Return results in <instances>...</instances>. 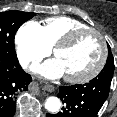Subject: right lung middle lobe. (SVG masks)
Returning a JSON list of instances; mask_svg holds the SVG:
<instances>
[{
    "label": "right lung middle lobe",
    "mask_w": 117,
    "mask_h": 117,
    "mask_svg": "<svg viewBox=\"0 0 117 117\" xmlns=\"http://www.w3.org/2000/svg\"><path fill=\"white\" fill-rule=\"evenodd\" d=\"M35 13L5 11L0 13V61L17 62L14 37L18 28Z\"/></svg>",
    "instance_id": "1"
}]
</instances>
